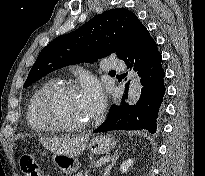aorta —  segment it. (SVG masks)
Returning a JSON list of instances; mask_svg holds the SVG:
<instances>
[{"label":"aorta","mask_w":205,"mask_h":176,"mask_svg":"<svg viewBox=\"0 0 205 176\" xmlns=\"http://www.w3.org/2000/svg\"><path fill=\"white\" fill-rule=\"evenodd\" d=\"M141 94V83L140 79L138 76H135L132 78L130 87H129V92H128V103L133 105L135 104Z\"/></svg>","instance_id":"obj_1"}]
</instances>
